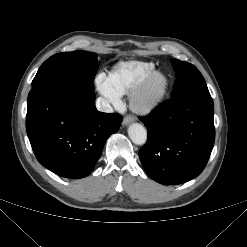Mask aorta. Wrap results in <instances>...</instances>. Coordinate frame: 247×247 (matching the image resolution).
Masks as SVG:
<instances>
[{"label": "aorta", "mask_w": 247, "mask_h": 247, "mask_svg": "<svg viewBox=\"0 0 247 247\" xmlns=\"http://www.w3.org/2000/svg\"><path fill=\"white\" fill-rule=\"evenodd\" d=\"M128 135L131 141L136 145H143L147 140V131L139 123H133L128 128Z\"/></svg>", "instance_id": "762f6f07"}]
</instances>
